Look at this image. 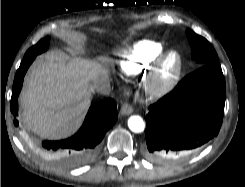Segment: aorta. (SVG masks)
Masks as SVG:
<instances>
[{
	"label": "aorta",
	"mask_w": 245,
	"mask_h": 187,
	"mask_svg": "<svg viewBox=\"0 0 245 187\" xmlns=\"http://www.w3.org/2000/svg\"><path fill=\"white\" fill-rule=\"evenodd\" d=\"M128 127L132 132L140 133L145 129V123L140 116L134 115L128 119Z\"/></svg>",
	"instance_id": "1"
}]
</instances>
